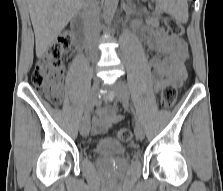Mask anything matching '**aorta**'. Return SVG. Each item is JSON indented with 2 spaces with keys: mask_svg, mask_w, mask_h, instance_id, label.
Returning a JSON list of instances; mask_svg holds the SVG:
<instances>
[{
  "mask_svg": "<svg viewBox=\"0 0 223 191\" xmlns=\"http://www.w3.org/2000/svg\"><path fill=\"white\" fill-rule=\"evenodd\" d=\"M118 5V0H105L104 4V20L109 25L114 17Z\"/></svg>",
  "mask_w": 223,
  "mask_h": 191,
  "instance_id": "1",
  "label": "aorta"
}]
</instances>
